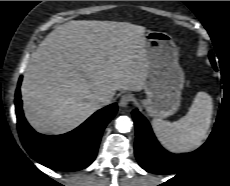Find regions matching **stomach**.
Here are the masks:
<instances>
[{
    "label": "stomach",
    "instance_id": "obj_1",
    "mask_svg": "<svg viewBox=\"0 0 230 186\" xmlns=\"http://www.w3.org/2000/svg\"><path fill=\"white\" fill-rule=\"evenodd\" d=\"M147 98L142 101L150 116L166 118L181 103L184 72L178 63V51L167 33L147 31L145 34Z\"/></svg>",
    "mask_w": 230,
    "mask_h": 186
}]
</instances>
